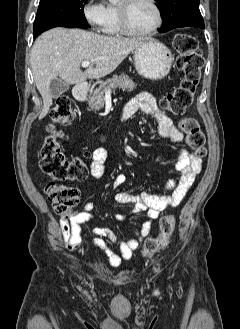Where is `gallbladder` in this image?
<instances>
[{
    "label": "gallbladder",
    "mask_w": 240,
    "mask_h": 329,
    "mask_svg": "<svg viewBox=\"0 0 240 329\" xmlns=\"http://www.w3.org/2000/svg\"><path fill=\"white\" fill-rule=\"evenodd\" d=\"M50 94L53 99L58 98L61 94L69 90V85L65 83L61 78L53 79L50 82Z\"/></svg>",
    "instance_id": "obj_1"
}]
</instances>
